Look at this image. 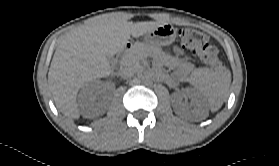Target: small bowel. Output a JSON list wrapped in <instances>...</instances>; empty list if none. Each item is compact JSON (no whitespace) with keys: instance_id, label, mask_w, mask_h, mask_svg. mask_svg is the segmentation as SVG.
<instances>
[{"instance_id":"1","label":"small bowel","mask_w":279,"mask_h":166,"mask_svg":"<svg viewBox=\"0 0 279 166\" xmlns=\"http://www.w3.org/2000/svg\"><path fill=\"white\" fill-rule=\"evenodd\" d=\"M174 51L178 54H181V51L177 47L174 49Z\"/></svg>"}]
</instances>
